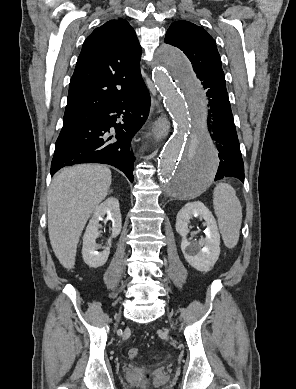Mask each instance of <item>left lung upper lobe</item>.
<instances>
[{
  "label": "left lung upper lobe",
  "mask_w": 296,
  "mask_h": 389,
  "mask_svg": "<svg viewBox=\"0 0 296 389\" xmlns=\"http://www.w3.org/2000/svg\"><path fill=\"white\" fill-rule=\"evenodd\" d=\"M165 43L184 52L199 79L202 75L224 74L216 43L202 27L184 20L176 21L167 30Z\"/></svg>",
  "instance_id": "1"
}]
</instances>
